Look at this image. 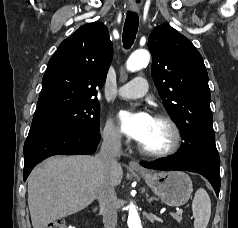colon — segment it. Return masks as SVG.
Returning a JSON list of instances; mask_svg holds the SVG:
<instances>
[{"label": "colon", "mask_w": 238, "mask_h": 228, "mask_svg": "<svg viewBox=\"0 0 238 228\" xmlns=\"http://www.w3.org/2000/svg\"><path fill=\"white\" fill-rule=\"evenodd\" d=\"M46 228H74L71 225H68L64 220H55L50 222Z\"/></svg>", "instance_id": "obj_1"}]
</instances>
